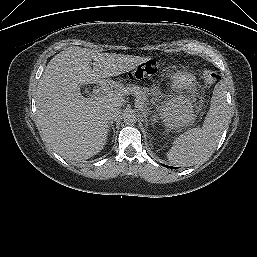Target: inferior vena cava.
Wrapping results in <instances>:
<instances>
[{
  "label": "inferior vena cava",
  "instance_id": "1",
  "mask_svg": "<svg viewBox=\"0 0 257 257\" xmlns=\"http://www.w3.org/2000/svg\"><path fill=\"white\" fill-rule=\"evenodd\" d=\"M120 114L121 110L119 108H111L105 112L104 117L110 123L117 120Z\"/></svg>",
  "mask_w": 257,
  "mask_h": 257
}]
</instances>
